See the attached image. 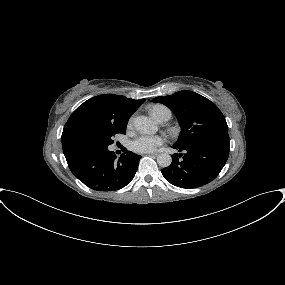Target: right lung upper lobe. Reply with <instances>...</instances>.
<instances>
[{
    "instance_id": "obj_1",
    "label": "right lung upper lobe",
    "mask_w": 285,
    "mask_h": 285,
    "mask_svg": "<svg viewBox=\"0 0 285 285\" xmlns=\"http://www.w3.org/2000/svg\"><path fill=\"white\" fill-rule=\"evenodd\" d=\"M144 101L114 94H102L85 101L64 126L61 139L65 157L88 147L108 128L127 126L131 115Z\"/></svg>"
}]
</instances>
